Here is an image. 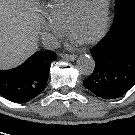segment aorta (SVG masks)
<instances>
[{"instance_id": "762f6f07", "label": "aorta", "mask_w": 135, "mask_h": 135, "mask_svg": "<svg viewBox=\"0 0 135 135\" xmlns=\"http://www.w3.org/2000/svg\"><path fill=\"white\" fill-rule=\"evenodd\" d=\"M77 66L84 75H90L95 69V61L89 55H81L77 60Z\"/></svg>"}]
</instances>
